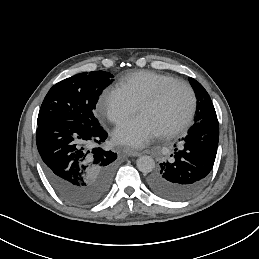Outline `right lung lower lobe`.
<instances>
[{
	"label": "right lung lower lobe",
	"mask_w": 259,
	"mask_h": 259,
	"mask_svg": "<svg viewBox=\"0 0 259 259\" xmlns=\"http://www.w3.org/2000/svg\"><path fill=\"white\" fill-rule=\"evenodd\" d=\"M108 137L99 126L69 120L38 126L36 144L51 186L66 202L85 207L109 191L117 154L102 148Z\"/></svg>",
	"instance_id": "98d812e1"
}]
</instances>
